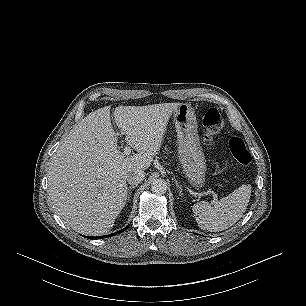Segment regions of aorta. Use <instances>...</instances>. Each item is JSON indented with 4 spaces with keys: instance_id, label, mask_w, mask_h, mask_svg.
<instances>
[{
    "instance_id": "1",
    "label": "aorta",
    "mask_w": 306,
    "mask_h": 306,
    "mask_svg": "<svg viewBox=\"0 0 306 306\" xmlns=\"http://www.w3.org/2000/svg\"><path fill=\"white\" fill-rule=\"evenodd\" d=\"M167 182L164 179H154L151 183V189L156 194H164L167 191Z\"/></svg>"
}]
</instances>
